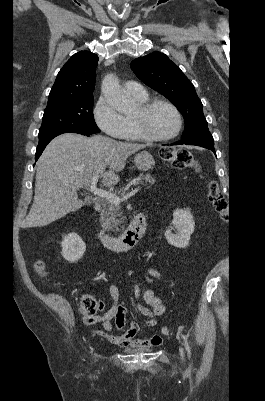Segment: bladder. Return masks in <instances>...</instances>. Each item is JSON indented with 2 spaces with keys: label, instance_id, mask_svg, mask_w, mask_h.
<instances>
[{
  "label": "bladder",
  "instance_id": "obj_1",
  "mask_svg": "<svg viewBox=\"0 0 265 401\" xmlns=\"http://www.w3.org/2000/svg\"><path fill=\"white\" fill-rule=\"evenodd\" d=\"M126 351H130V352H143V351H151L152 348H146V349H140V350H136V349H132V348H126Z\"/></svg>",
  "mask_w": 265,
  "mask_h": 401
}]
</instances>
